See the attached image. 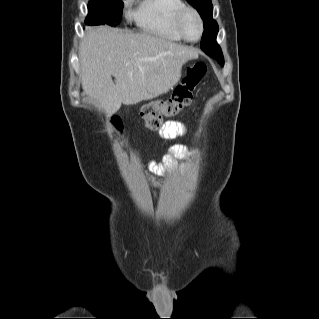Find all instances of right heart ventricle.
Here are the masks:
<instances>
[{
  "instance_id": "1",
  "label": "right heart ventricle",
  "mask_w": 319,
  "mask_h": 319,
  "mask_svg": "<svg viewBox=\"0 0 319 319\" xmlns=\"http://www.w3.org/2000/svg\"><path fill=\"white\" fill-rule=\"evenodd\" d=\"M185 6L183 0H143L130 12V16L144 33L180 41L182 38L175 31L173 20Z\"/></svg>"
}]
</instances>
